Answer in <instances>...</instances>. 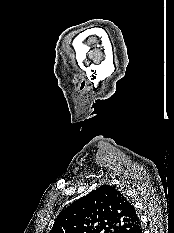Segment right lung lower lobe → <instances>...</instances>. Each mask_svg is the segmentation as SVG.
Instances as JSON below:
<instances>
[{"instance_id":"obj_1","label":"right lung lower lobe","mask_w":174,"mask_h":233,"mask_svg":"<svg viewBox=\"0 0 174 233\" xmlns=\"http://www.w3.org/2000/svg\"><path fill=\"white\" fill-rule=\"evenodd\" d=\"M137 233H142V229L140 228V229L137 231Z\"/></svg>"}]
</instances>
